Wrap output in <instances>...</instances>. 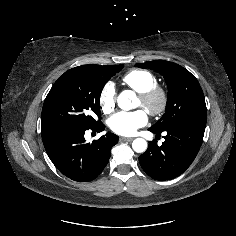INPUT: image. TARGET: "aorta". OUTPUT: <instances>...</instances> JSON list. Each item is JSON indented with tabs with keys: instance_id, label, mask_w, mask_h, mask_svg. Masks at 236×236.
Listing matches in <instances>:
<instances>
[{
	"instance_id": "obj_1",
	"label": "aorta",
	"mask_w": 236,
	"mask_h": 236,
	"mask_svg": "<svg viewBox=\"0 0 236 236\" xmlns=\"http://www.w3.org/2000/svg\"><path fill=\"white\" fill-rule=\"evenodd\" d=\"M131 98V91H123L117 98V103L120 108H125L126 103ZM132 148L137 153H143L147 149V142L143 138H136L132 143Z\"/></svg>"
}]
</instances>
